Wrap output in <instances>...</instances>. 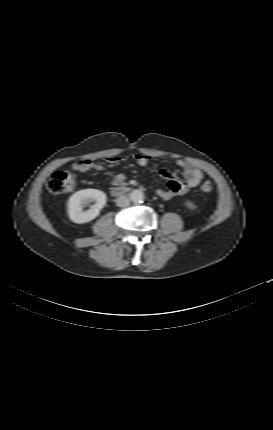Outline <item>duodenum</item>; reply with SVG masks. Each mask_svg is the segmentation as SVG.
<instances>
[{
    "label": "duodenum",
    "mask_w": 273,
    "mask_h": 430,
    "mask_svg": "<svg viewBox=\"0 0 273 430\" xmlns=\"http://www.w3.org/2000/svg\"><path fill=\"white\" fill-rule=\"evenodd\" d=\"M130 191V188L127 186H119L117 188H114L112 190V194L114 196H120V195H124L126 193H128Z\"/></svg>",
    "instance_id": "obj_1"
}]
</instances>
